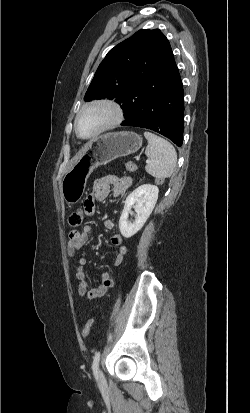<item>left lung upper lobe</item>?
Here are the masks:
<instances>
[{
  "mask_svg": "<svg viewBox=\"0 0 250 413\" xmlns=\"http://www.w3.org/2000/svg\"><path fill=\"white\" fill-rule=\"evenodd\" d=\"M171 53L169 41L159 29L139 30L108 52L84 100L116 98L123 108L144 81L165 73Z\"/></svg>",
  "mask_w": 250,
  "mask_h": 413,
  "instance_id": "1",
  "label": "left lung upper lobe"
}]
</instances>
